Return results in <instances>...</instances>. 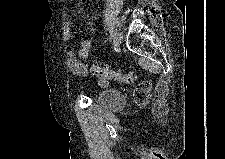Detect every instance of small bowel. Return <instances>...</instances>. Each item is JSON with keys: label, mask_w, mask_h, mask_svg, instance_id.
Instances as JSON below:
<instances>
[{"label": "small bowel", "mask_w": 225, "mask_h": 159, "mask_svg": "<svg viewBox=\"0 0 225 159\" xmlns=\"http://www.w3.org/2000/svg\"><path fill=\"white\" fill-rule=\"evenodd\" d=\"M92 46L91 39L83 40L76 51H69V65L73 74L85 77L88 75L86 64L82 61L89 58Z\"/></svg>", "instance_id": "obj_1"}]
</instances>
